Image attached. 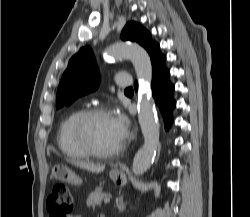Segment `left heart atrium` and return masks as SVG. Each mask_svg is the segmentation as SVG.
<instances>
[{"label":"left heart atrium","instance_id":"1","mask_svg":"<svg viewBox=\"0 0 250 217\" xmlns=\"http://www.w3.org/2000/svg\"><path fill=\"white\" fill-rule=\"evenodd\" d=\"M110 117L119 139L124 141L129 134V120L119 112H113Z\"/></svg>","mask_w":250,"mask_h":217}]
</instances>
